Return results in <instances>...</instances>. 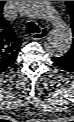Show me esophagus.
Returning <instances> with one entry per match:
<instances>
[{"mask_svg": "<svg viewBox=\"0 0 74 122\" xmlns=\"http://www.w3.org/2000/svg\"><path fill=\"white\" fill-rule=\"evenodd\" d=\"M47 35H48V30L45 29V28H43V29L41 30V32L31 34V38L34 39V40H39V39H44V38H46Z\"/></svg>", "mask_w": 74, "mask_h": 122, "instance_id": "obj_1", "label": "esophagus"}]
</instances>
